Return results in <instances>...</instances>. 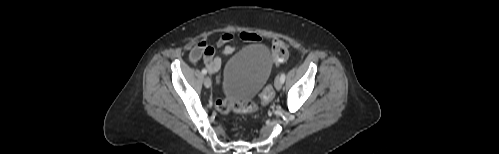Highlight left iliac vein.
Listing matches in <instances>:
<instances>
[{"label":"left iliac vein","mask_w":499,"mask_h":154,"mask_svg":"<svg viewBox=\"0 0 499 154\" xmlns=\"http://www.w3.org/2000/svg\"><path fill=\"white\" fill-rule=\"evenodd\" d=\"M282 84L283 83H282L281 79L280 78H276L275 83H274V86H275L276 90H278V91L281 90Z\"/></svg>","instance_id":"obj_1"}]
</instances>
